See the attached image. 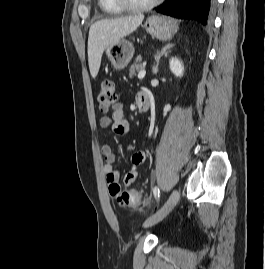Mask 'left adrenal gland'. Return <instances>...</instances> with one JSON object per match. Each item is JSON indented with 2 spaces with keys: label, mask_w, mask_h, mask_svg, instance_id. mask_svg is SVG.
I'll list each match as a JSON object with an SVG mask.
<instances>
[{
  "label": "left adrenal gland",
  "mask_w": 265,
  "mask_h": 269,
  "mask_svg": "<svg viewBox=\"0 0 265 269\" xmlns=\"http://www.w3.org/2000/svg\"><path fill=\"white\" fill-rule=\"evenodd\" d=\"M174 47V44H167L165 45L161 50H158L156 55L154 56L155 59V65L153 67V74H156L158 72V65L159 60L163 55H167L171 49Z\"/></svg>",
  "instance_id": "obj_1"
}]
</instances>
